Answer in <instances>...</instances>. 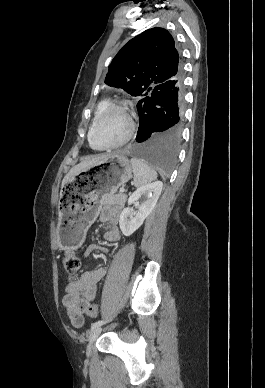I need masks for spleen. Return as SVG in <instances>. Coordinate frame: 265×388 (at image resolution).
Segmentation results:
<instances>
[{"instance_id":"obj_1","label":"spleen","mask_w":265,"mask_h":388,"mask_svg":"<svg viewBox=\"0 0 265 388\" xmlns=\"http://www.w3.org/2000/svg\"><path fill=\"white\" fill-rule=\"evenodd\" d=\"M133 180L135 188H142L146 184H150L153 180H157V172L150 168L148 162L145 160H138V158H131Z\"/></svg>"}]
</instances>
